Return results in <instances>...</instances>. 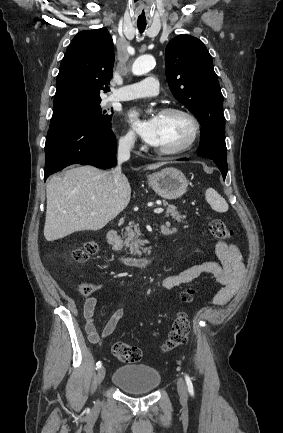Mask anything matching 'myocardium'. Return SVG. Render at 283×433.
<instances>
[{
	"label": "myocardium",
	"mask_w": 283,
	"mask_h": 433,
	"mask_svg": "<svg viewBox=\"0 0 283 433\" xmlns=\"http://www.w3.org/2000/svg\"><path fill=\"white\" fill-rule=\"evenodd\" d=\"M160 114H182L186 116L192 124V134L188 141L176 150L160 151L161 155L170 158L181 156L189 152L196 144L201 134L202 126L199 118L187 108L180 106L166 107L161 110Z\"/></svg>",
	"instance_id": "obj_1"
}]
</instances>
